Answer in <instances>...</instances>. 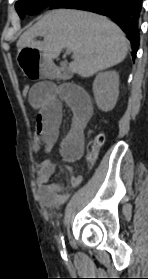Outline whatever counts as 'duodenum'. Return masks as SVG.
Segmentation results:
<instances>
[{
	"label": "duodenum",
	"mask_w": 148,
	"mask_h": 279,
	"mask_svg": "<svg viewBox=\"0 0 148 279\" xmlns=\"http://www.w3.org/2000/svg\"><path fill=\"white\" fill-rule=\"evenodd\" d=\"M57 74L61 79H69L73 76L72 71L67 67H59L57 69Z\"/></svg>",
	"instance_id": "duodenum-1"
}]
</instances>
